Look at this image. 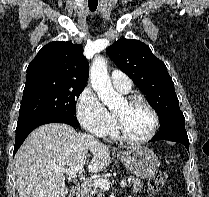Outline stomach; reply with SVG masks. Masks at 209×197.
Wrapping results in <instances>:
<instances>
[{"instance_id":"stomach-1","label":"stomach","mask_w":209,"mask_h":197,"mask_svg":"<svg viewBox=\"0 0 209 197\" xmlns=\"http://www.w3.org/2000/svg\"><path fill=\"white\" fill-rule=\"evenodd\" d=\"M125 167L139 178H150L160 165L156 154L147 147L133 146L120 155Z\"/></svg>"}]
</instances>
